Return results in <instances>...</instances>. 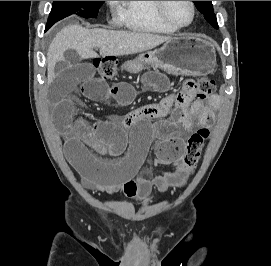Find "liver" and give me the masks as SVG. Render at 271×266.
Returning <instances> with one entry per match:
<instances>
[{
	"label": "liver",
	"mask_w": 271,
	"mask_h": 266,
	"mask_svg": "<svg viewBox=\"0 0 271 266\" xmlns=\"http://www.w3.org/2000/svg\"><path fill=\"white\" fill-rule=\"evenodd\" d=\"M170 36L144 32L113 31L105 29H85L79 24L63 28L52 40L47 54V84L56 78L54 62L64 60L68 49L76 51L80 59L94 58V48H99L100 55L122 56L151 50Z\"/></svg>",
	"instance_id": "liver-1"
}]
</instances>
